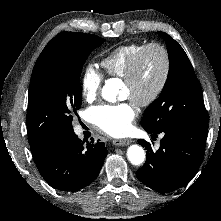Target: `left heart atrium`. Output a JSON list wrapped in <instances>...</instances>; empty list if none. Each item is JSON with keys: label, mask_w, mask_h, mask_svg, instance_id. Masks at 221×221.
Instances as JSON below:
<instances>
[{"label": "left heart atrium", "mask_w": 221, "mask_h": 221, "mask_svg": "<svg viewBox=\"0 0 221 221\" xmlns=\"http://www.w3.org/2000/svg\"><path fill=\"white\" fill-rule=\"evenodd\" d=\"M92 122L104 133L111 136L125 135L136 117V108L125 102L115 105H98L90 110Z\"/></svg>", "instance_id": "1"}]
</instances>
